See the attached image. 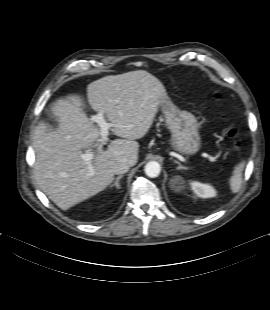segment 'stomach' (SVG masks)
<instances>
[{"label":"stomach","mask_w":270,"mask_h":310,"mask_svg":"<svg viewBox=\"0 0 270 310\" xmlns=\"http://www.w3.org/2000/svg\"><path fill=\"white\" fill-rule=\"evenodd\" d=\"M160 106L171 132V147L186 155L196 154L201 148V137L195 116L178 109L168 98Z\"/></svg>","instance_id":"1"}]
</instances>
